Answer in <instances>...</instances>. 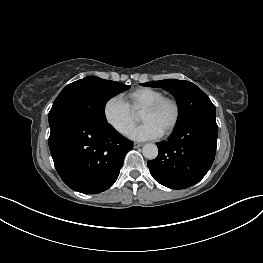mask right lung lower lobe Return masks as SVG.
Instances as JSON below:
<instances>
[{
    "mask_svg": "<svg viewBox=\"0 0 263 263\" xmlns=\"http://www.w3.org/2000/svg\"><path fill=\"white\" fill-rule=\"evenodd\" d=\"M50 129L49 148L58 174L68 187L85 194L110 188L133 148L108 123L62 118Z\"/></svg>",
    "mask_w": 263,
    "mask_h": 263,
    "instance_id": "obj_1",
    "label": "right lung lower lobe"
}]
</instances>
